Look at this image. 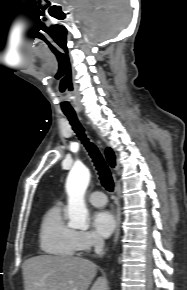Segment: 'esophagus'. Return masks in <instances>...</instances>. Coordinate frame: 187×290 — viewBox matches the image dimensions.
I'll return each mask as SVG.
<instances>
[{"label": "esophagus", "instance_id": "esophagus-1", "mask_svg": "<svg viewBox=\"0 0 187 290\" xmlns=\"http://www.w3.org/2000/svg\"><path fill=\"white\" fill-rule=\"evenodd\" d=\"M120 224H121V215H120V208L117 206L116 209V229H115V234L113 238V243H116L119 235H120Z\"/></svg>", "mask_w": 187, "mask_h": 290}]
</instances>
